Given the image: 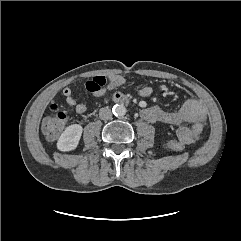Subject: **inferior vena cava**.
<instances>
[{
	"mask_svg": "<svg viewBox=\"0 0 241 241\" xmlns=\"http://www.w3.org/2000/svg\"><path fill=\"white\" fill-rule=\"evenodd\" d=\"M99 117H100L102 120L111 119V117H112V111H111V109H109L108 107H105V108L100 109V111H99Z\"/></svg>",
	"mask_w": 241,
	"mask_h": 241,
	"instance_id": "obj_1",
	"label": "inferior vena cava"
}]
</instances>
